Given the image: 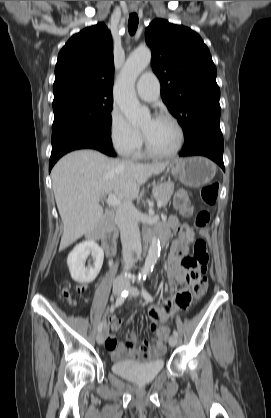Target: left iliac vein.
Here are the masks:
<instances>
[{"label": "left iliac vein", "instance_id": "1", "mask_svg": "<svg viewBox=\"0 0 271 418\" xmlns=\"http://www.w3.org/2000/svg\"><path fill=\"white\" fill-rule=\"evenodd\" d=\"M137 295H139L138 289L135 287H131L130 296H137ZM168 342L171 347H175L177 345V337H175L174 335H171L168 339Z\"/></svg>", "mask_w": 271, "mask_h": 418}]
</instances>
